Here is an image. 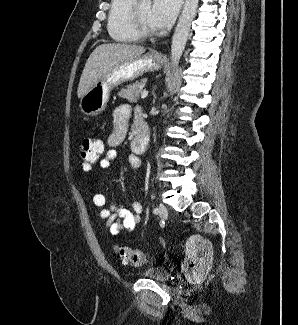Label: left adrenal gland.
Here are the masks:
<instances>
[{
    "mask_svg": "<svg viewBox=\"0 0 298 325\" xmlns=\"http://www.w3.org/2000/svg\"><path fill=\"white\" fill-rule=\"evenodd\" d=\"M152 94H153V96H154L153 100H155V98H157L155 92H152Z\"/></svg>",
    "mask_w": 298,
    "mask_h": 325,
    "instance_id": "left-adrenal-gland-1",
    "label": "left adrenal gland"
}]
</instances>
